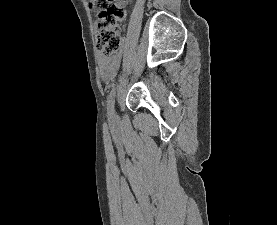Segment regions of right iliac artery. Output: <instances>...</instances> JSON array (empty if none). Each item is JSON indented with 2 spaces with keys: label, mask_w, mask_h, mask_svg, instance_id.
Returning <instances> with one entry per match:
<instances>
[{
  "label": "right iliac artery",
  "mask_w": 277,
  "mask_h": 225,
  "mask_svg": "<svg viewBox=\"0 0 277 225\" xmlns=\"http://www.w3.org/2000/svg\"><path fill=\"white\" fill-rule=\"evenodd\" d=\"M115 95H116V89L113 88L110 95H109V98H108V101H107V109H108V117L111 121H114L115 120V115H114V99H115Z\"/></svg>",
  "instance_id": "82829eb1"
}]
</instances>
